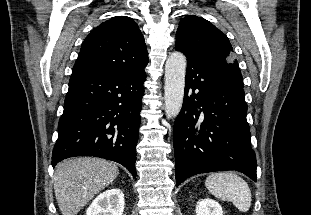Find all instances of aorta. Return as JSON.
Listing matches in <instances>:
<instances>
[{
    "instance_id": "obj_1",
    "label": "aorta",
    "mask_w": 311,
    "mask_h": 215,
    "mask_svg": "<svg viewBox=\"0 0 311 215\" xmlns=\"http://www.w3.org/2000/svg\"><path fill=\"white\" fill-rule=\"evenodd\" d=\"M186 57L181 52L171 53L165 64V114L168 119L175 118L184 97Z\"/></svg>"
}]
</instances>
